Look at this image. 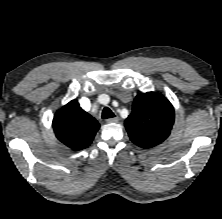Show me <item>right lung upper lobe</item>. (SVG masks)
Wrapping results in <instances>:
<instances>
[{
	"label": "right lung upper lobe",
	"mask_w": 222,
	"mask_h": 219,
	"mask_svg": "<svg viewBox=\"0 0 222 219\" xmlns=\"http://www.w3.org/2000/svg\"><path fill=\"white\" fill-rule=\"evenodd\" d=\"M56 137L72 150L88 147L100 125L76 100L59 109L53 119Z\"/></svg>",
	"instance_id": "obj_1"
}]
</instances>
